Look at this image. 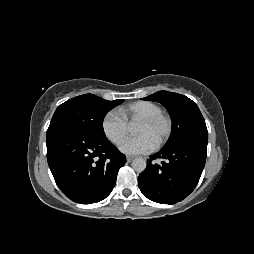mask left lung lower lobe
<instances>
[{
    "label": "left lung lower lobe",
    "mask_w": 254,
    "mask_h": 254,
    "mask_svg": "<svg viewBox=\"0 0 254 254\" xmlns=\"http://www.w3.org/2000/svg\"><path fill=\"white\" fill-rule=\"evenodd\" d=\"M207 155V142L188 141L150 156L146 169L139 175L141 192L157 203L175 204L196 187ZM163 159L161 164L153 162Z\"/></svg>",
    "instance_id": "1"
}]
</instances>
